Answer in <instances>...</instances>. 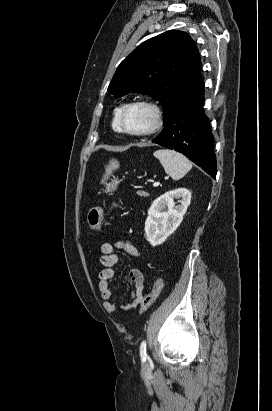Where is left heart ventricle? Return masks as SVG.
I'll use <instances>...</instances> for the list:
<instances>
[{"label": "left heart ventricle", "instance_id": "1", "mask_svg": "<svg viewBox=\"0 0 272 411\" xmlns=\"http://www.w3.org/2000/svg\"><path fill=\"white\" fill-rule=\"evenodd\" d=\"M123 120L127 129L139 131L151 123V113L143 107H132L126 111Z\"/></svg>", "mask_w": 272, "mask_h": 411}]
</instances>
